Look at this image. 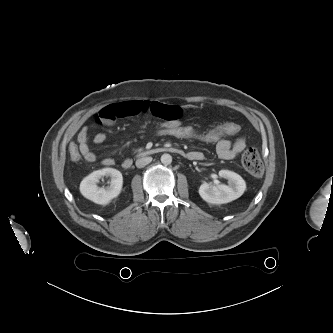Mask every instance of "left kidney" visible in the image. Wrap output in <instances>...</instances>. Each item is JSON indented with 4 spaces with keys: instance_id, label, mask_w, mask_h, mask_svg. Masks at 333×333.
<instances>
[{
    "instance_id": "obj_1",
    "label": "left kidney",
    "mask_w": 333,
    "mask_h": 333,
    "mask_svg": "<svg viewBox=\"0 0 333 333\" xmlns=\"http://www.w3.org/2000/svg\"><path fill=\"white\" fill-rule=\"evenodd\" d=\"M219 176L228 180V185L204 183L199 188L203 200L211 204H225L241 197L246 189L243 178L235 172L220 170Z\"/></svg>"
}]
</instances>
